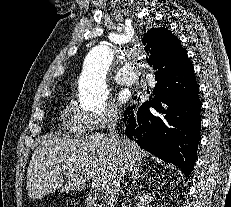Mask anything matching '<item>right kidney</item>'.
<instances>
[{
	"label": "right kidney",
	"instance_id": "right-kidney-1",
	"mask_svg": "<svg viewBox=\"0 0 231 207\" xmlns=\"http://www.w3.org/2000/svg\"><path fill=\"white\" fill-rule=\"evenodd\" d=\"M152 201V198L149 196V194H143L139 197L136 206L137 207H150V202Z\"/></svg>",
	"mask_w": 231,
	"mask_h": 207
}]
</instances>
